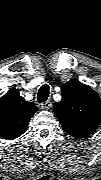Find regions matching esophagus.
<instances>
[{
	"mask_svg": "<svg viewBox=\"0 0 101 180\" xmlns=\"http://www.w3.org/2000/svg\"><path fill=\"white\" fill-rule=\"evenodd\" d=\"M51 106H52V103H51V101H49V100L46 101V102H42V103L40 104L41 109H44V110L50 109Z\"/></svg>",
	"mask_w": 101,
	"mask_h": 180,
	"instance_id": "1",
	"label": "esophagus"
}]
</instances>
